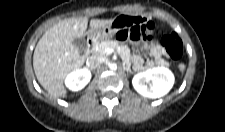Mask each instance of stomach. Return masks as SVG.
<instances>
[{"label": "stomach", "instance_id": "stomach-1", "mask_svg": "<svg viewBox=\"0 0 225 132\" xmlns=\"http://www.w3.org/2000/svg\"><path fill=\"white\" fill-rule=\"evenodd\" d=\"M117 29L112 26V24L104 26L102 28L94 30L90 34V38L95 42H101L105 40H110L113 38Z\"/></svg>", "mask_w": 225, "mask_h": 132}]
</instances>
